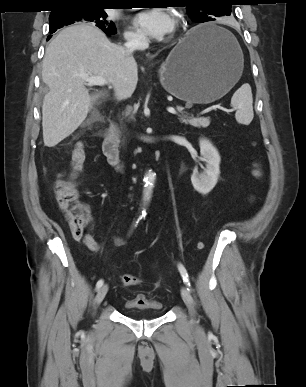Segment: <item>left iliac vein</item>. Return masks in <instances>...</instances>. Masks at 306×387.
<instances>
[{
  "mask_svg": "<svg viewBox=\"0 0 306 387\" xmlns=\"http://www.w3.org/2000/svg\"><path fill=\"white\" fill-rule=\"evenodd\" d=\"M181 297H182L184 303L186 304V306L188 307L191 320L194 323H196V311H195V307H194L193 298H192L189 290L185 286H183L181 288Z\"/></svg>",
  "mask_w": 306,
  "mask_h": 387,
  "instance_id": "obj_1",
  "label": "left iliac vein"
}]
</instances>
